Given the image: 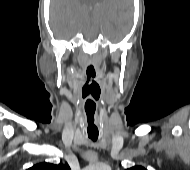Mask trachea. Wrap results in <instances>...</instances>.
<instances>
[{"label": "trachea", "mask_w": 190, "mask_h": 170, "mask_svg": "<svg viewBox=\"0 0 190 170\" xmlns=\"http://www.w3.org/2000/svg\"><path fill=\"white\" fill-rule=\"evenodd\" d=\"M89 138L92 140V141H96L98 139V136H89Z\"/></svg>", "instance_id": "obj_1"}]
</instances>
